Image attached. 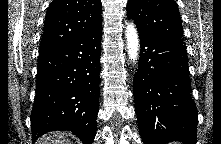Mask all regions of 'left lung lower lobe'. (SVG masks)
Returning a JSON list of instances; mask_svg holds the SVG:
<instances>
[{"label": "left lung lower lobe", "instance_id": "left-lung-lower-lobe-1", "mask_svg": "<svg viewBox=\"0 0 221 144\" xmlns=\"http://www.w3.org/2000/svg\"><path fill=\"white\" fill-rule=\"evenodd\" d=\"M140 58L133 81L139 132L144 144H196L198 112L191 99L183 43L139 33Z\"/></svg>", "mask_w": 221, "mask_h": 144}]
</instances>
